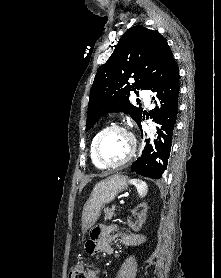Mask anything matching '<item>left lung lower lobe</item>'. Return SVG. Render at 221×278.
<instances>
[{
	"mask_svg": "<svg viewBox=\"0 0 221 278\" xmlns=\"http://www.w3.org/2000/svg\"><path fill=\"white\" fill-rule=\"evenodd\" d=\"M179 87V70L173 58L149 89L156 93L153 100L157 105L150 111V115L160 125L157 129L158 137L154 141V148L146 141L147 146L141 157L131 166L132 172L160 179L166 170L178 113ZM139 126L142 131L141 124Z\"/></svg>",
	"mask_w": 221,
	"mask_h": 278,
	"instance_id": "left-lung-lower-lobe-1",
	"label": "left lung lower lobe"
}]
</instances>
